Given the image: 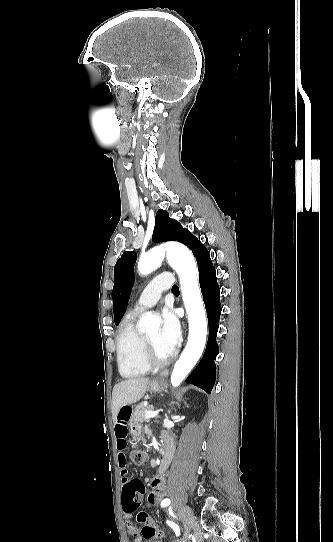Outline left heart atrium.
I'll use <instances>...</instances> for the list:
<instances>
[{
	"label": "left heart atrium",
	"instance_id": "39dd6f15",
	"mask_svg": "<svg viewBox=\"0 0 333 542\" xmlns=\"http://www.w3.org/2000/svg\"><path fill=\"white\" fill-rule=\"evenodd\" d=\"M161 342L174 353L181 339L180 322L171 307L162 310V328L160 331Z\"/></svg>",
	"mask_w": 333,
	"mask_h": 542
}]
</instances>
